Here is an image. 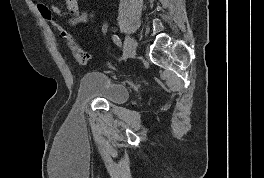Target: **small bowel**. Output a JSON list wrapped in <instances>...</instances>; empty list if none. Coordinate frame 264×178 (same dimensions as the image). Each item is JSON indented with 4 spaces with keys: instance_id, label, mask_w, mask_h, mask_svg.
<instances>
[{
    "instance_id": "small-bowel-1",
    "label": "small bowel",
    "mask_w": 264,
    "mask_h": 178,
    "mask_svg": "<svg viewBox=\"0 0 264 178\" xmlns=\"http://www.w3.org/2000/svg\"><path fill=\"white\" fill-rule=\"evenodd\" d=\"M64 5V9L52 3L47 6L53 14L66 18L71 26L84 24L88 21L89 15L87 11L79 9L77 0H64Z\"/></svg>"
}]
</instances>
